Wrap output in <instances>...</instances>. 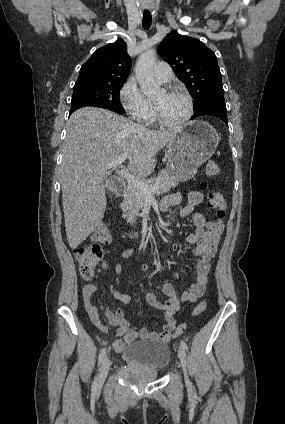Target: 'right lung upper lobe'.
<instances>
[{"instance_id":"cb5924a9","label":"right lung upper lobe","mask_w":285,"mask_h":424,"mask_svg":"<svg viewBox=\"0 0 285 424\" xmlns=\"http://www.w3.org/2000/svg\"><path fill=\"white\" fill-rule=\"evenodd\" d=\"M131 68L127 44L122 39L97 49L82 65L75 85L125 82Z\"/></svg>"}]
</instances>
